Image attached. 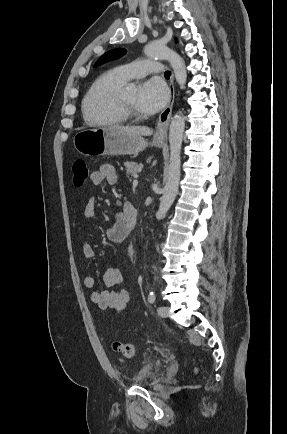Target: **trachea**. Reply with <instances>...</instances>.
<instances>
[{
	"label": "trachea",
	"instance_id": "3493384b",
	"mask_svg": "<svg viewBox=\"0 0 287 434\" xmlns=\"http://www.w3.org/2000/svg\"><path fill=\"white\" fill-rule=\"evenodd\" d=\"M170 75H171V72H170V71H166V72L164 73V76H165L166 78H170Z\"/></svg>",
	"mask_w": 287,
	"mask_h": 434
}]
</instances>
